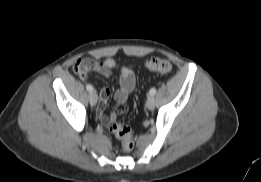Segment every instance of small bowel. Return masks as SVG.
I'll use <instances>...</instances> for the list:
<instances>
[{
	"label": "small bowel",
	"instance_id": "obj_1",
	"mask_svg": "<svg viewBox=\"0 0 261 182\" xmlns=\"http://www.w3.org/2000/svg\"><path fill=\"white\" fill-rule=\"evenodd\" d=\"M88 66V70L95 71L103 76H109L113 70H120V84L119 88L115 92V100L117 106L115 109L106 114L105 109L110 98L111 91L108 87H103L100 90L99 102L96 110L98 120L103 124H108L112 120H115L116 116L123 114L127 111L126 102L135 87V75L133 72V65H119L113 59H105L101 62L93 59H83ZM83 80L87 79V76L81 77Z\"/></svg>",
	"mask_w": 261,
	"mask_h": 182
}]
</instances>
